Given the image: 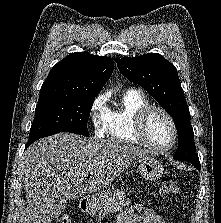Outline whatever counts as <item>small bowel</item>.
I'll list each match as a JSON object with an SVG mask.
<instances>
[{
  "label": "small bowel",
  "instance_id": "c3829d8e",
  "mask_svg": "<svg viewBox=\"0 0 221 223\" xmlns=\"http://www.w3.org/2000/svg\"><path fill=\"white\" fill-rule=\"evenodd\" d=\"M119 223H166L156 211L150 207L136 205L127 208L119 217Z\"/></svg>",
  "mask_w": 221,
  "mask_h": 223
}]
</instances>
